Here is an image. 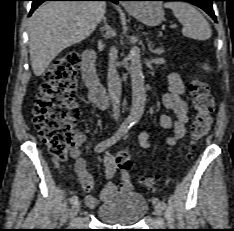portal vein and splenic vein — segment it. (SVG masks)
<instances>
[{"label": "portal vein and splenic vein", "mask_w": 234, "mask_h": 231, "mask_svg": "<svg viewBox=\"0 0 234 231\" xmlns=\"http://www.w3.org/2000/svg\"><path fill=\"white\" fill-rule=\"evenodd\" d=\"M172 28H176V26H175V25H173V26H172Z\"/></svg>", "instance_id": "1"}]
</instances>
